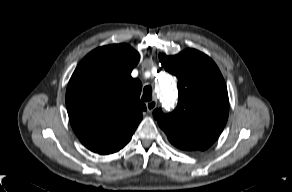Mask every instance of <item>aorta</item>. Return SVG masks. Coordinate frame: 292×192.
<instances>
[{
	"mask_svg": "<svg viewBox=\"0 0 292 192\" xmlns=\"http://www.w3.org/2000/svg\"><path fill=\"white\" fill-rule=\"evenodd\" d=\"M155 89L162 102L166 105L175 102L176 90L170 76L166 74L161 75L156 81Z\"/></svg>",
	"mask_w": 292,
	"mask_h": 192,
	"instance_id": "aorta-1",
	"label": "aorta"
}]
</instances>
